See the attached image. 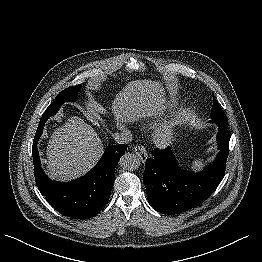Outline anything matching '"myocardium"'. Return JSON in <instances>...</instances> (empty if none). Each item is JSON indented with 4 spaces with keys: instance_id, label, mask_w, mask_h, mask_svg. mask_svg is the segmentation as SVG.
I'll return each instance as SVG.
<instances>
[{
    "instance_id": "1",
    "label": "myocardium",
    "mask_w": 262,
    "mask_h": 262,
    "mask_svg": "<svg viewBox=\"0 0 262 262\" xmlns=\"http://www.w3.org/2000/svg\"><path fill=\"white\" fill-rule=\"evenodd\" d=\"M186 115V111H181L173 118L161 123L153 134L155 144L160 148L170 147L176 141L178 130L185 122Z\"/></svg>"
}]
</instances>
